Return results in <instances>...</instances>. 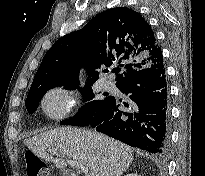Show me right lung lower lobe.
<instances>
[{"label":"right lung lower lobe","mask_w":205,"mask_h":176,"mask_svg":"<svg viewBox=\"0 0 205 176\" xmlns=\"http://www.w3.org/2000/svg\"><path fill=\"white\" fill-rule=\"evenodd\" d=\"M129 96L126 109L110 99L94 114L91 127L130 146L165 154L169 148L168 85L164 63L134 71L116 84Z\"/></svg>","instance_id":"right-lung-lower-lobe-1"}]
</instances>
